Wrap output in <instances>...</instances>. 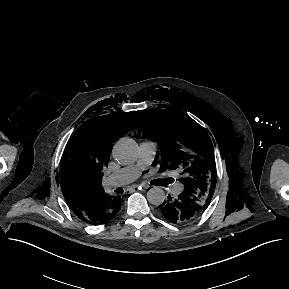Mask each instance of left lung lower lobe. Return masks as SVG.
Wrapping results in <instances>:
<instances>
[{
	"mask_svg": "<svg viewBox=\"0 0 289 289\" xmlns=\"http://www.w3.org/2000/svg\"><path fill=\"white\" fill-rule=\"evenodd\" d=\"M201 192L183 191L176 198L168 197L159 207L162 215L172 223H189L199 217L208 207Z\"/></svg>",
	"mask_w": 289,
	"mask_h": 289,
	"instance_id": "0a47b994",
	"label": "left lung lower lobe"
}]
</instances>
